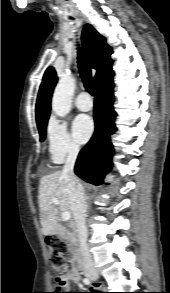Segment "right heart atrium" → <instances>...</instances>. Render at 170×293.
<instances>
[{
    "label": "right heart atrium",
    "instance_id": "right-heart-atrium-1",
    "mask_svg": "<svg viewBox=\"0 0 170 293\" xmlns=\"http://www.w3.org/2000/svg\"><path fill=\"white\" fill-rule=\"evenodd\" d=\"M47 142L49 155L56 163L76 156L80 150L78 143L68 132L66 122L57 118H53L49 122Z\"/></svg>",
    "mask_w": 170,
    "mask_h": 293
}]
</instances>
